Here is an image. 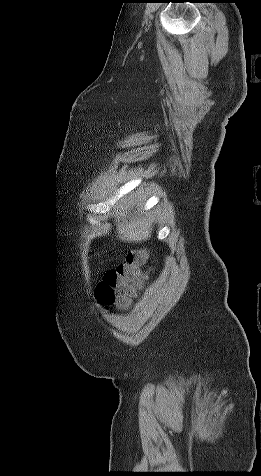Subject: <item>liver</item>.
<instances>
[{
    "label": "liver",
    "instance_id": "obj_1",
    "mask_svg": "<svg viewBox=\"0 0 261 476\" xmlns=\"http://www.w3.org/2000/svg\"><path fill=\"white\" fill-rule=\"evenodd\" d=\"M118 208L116 226L122 241L141 242L151 237V217L140 216L128 222L131 202L127 199H121Z\"/></svg>",
    "mask_w": 261,
    "mask_h": 476
}]
</instances>
